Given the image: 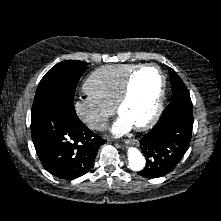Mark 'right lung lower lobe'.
Instances as JSON below:
<instances>
[{
    "label": "right lung lower lobe",
    "mask_w": 221,
    "mask_h": 221,
    "mask_svg": "<svg viewBox=\"0 0 221 221\" xmlns=\"http://www.w3.org/2000/svg\"><path fill=\"white\" fill-rule=\"evenodd\" d=\"M31 135L43 167L67 180L86 174L106 143L80 121L68 101L47 106L31 117Z\"/></svg>",
    "instance_id": "1"
}]
</instances>
